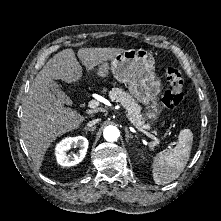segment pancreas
I'll return each mask as SVG.
<instances>
[{"mask_svg": "<svg viewBox=\"0 0 221 221\" xmlns=\"http://www.w3.org/2000/svg\"><path fill=\"white\" fill-rule=\"evenodd\" d=\"M109 98L112 101L120 102L139 128L143 130L150 129V126L145 123L141 114V107L129 93L121 88H113L109 92Z\"/></svg>", "mask_w": 221, "mask_h": 221, "instance_id": "cf45deb5", "label": "pancreas"}]
</instances>
